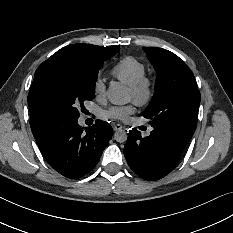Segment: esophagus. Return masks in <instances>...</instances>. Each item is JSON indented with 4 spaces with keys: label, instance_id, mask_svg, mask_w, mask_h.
<instances>
[{
    "label": "esophagus",
    "instance_id": "34e87169",
    "mask_svg": "<svg viewBox=\"0 0 233 233\" xmlns=\"http://www.w3.org/2000/svg\"><path fill=\"white\" fill-rule=\"evenodd\" d=\"M122 128H123V126L121 124H113V130L114 131H118V130H120Z\"/></svg>",
    "mask_w": 233,
    "mask_h": 233
}]
</instances>
